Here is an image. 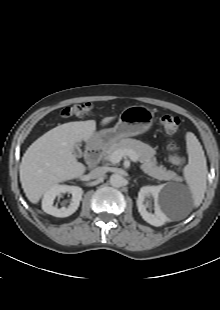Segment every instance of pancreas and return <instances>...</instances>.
<instances>
[{"label":"pancreas","instance_id":"1","mask_svg":"<svg viewBox=\"0 0 220 310\" xmlns=\"http://www.w3.org/2000/svg\"><path fill=\"white\" fill-rule=\"evenodd\" d=\"M132 150L138 156L139 161L142 163L141 169L149 176L156 178L158 180H177L178 176L174 171L167 170L164 166H157L155 155V150L136 139L126 138L121 139L118 142L110 145L104 154V159L110 161L112 153L117 150Z\"/></svg>","mask_w":220,"mask_h":310}]
</instances>
